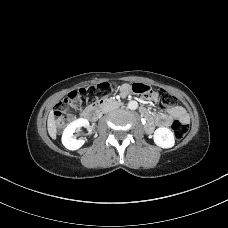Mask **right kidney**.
Masks as SVG:
<instances>
[{"label":"right kidney","mask_w":228,"mask_h":228,"mask_svg":"<svg viewBox=\"0 0 228 228\" xmlns=\"http://www.w3.org/2000/svg\"><path fill=\"white\" fill-rule=\"evenodd\" d=\"M79 127H89V121L84 118H79L74 121H72L63 131L62 135V144L64 145L65 148L68 150H77L80 147L83 146L85 143V140L79 139L77 140L73 133L76 131L77 128Z\"/></svg>","instance_id":"right-kidney-1"}]
</instances>
